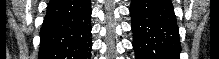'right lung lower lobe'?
Segmentation results:
<instances>
[{"label":"right lung lower lobe","instance_id":"1","mask_svg":"<svg viewBox=\"0 0 219 59\" xmlns=\"http://www.w3.org/2000/svg\"><path fill=\"white\" fill-rule=\"evenodd\" d=\"M91 46L90 0H50L39 59H89Z\"/></svg>","mask_w":219,"mask_h":59}]
</instances>
